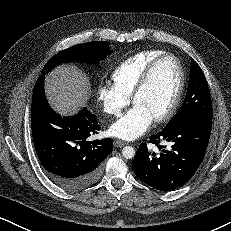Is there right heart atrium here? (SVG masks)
Returning <instances> with one entry per match:
<instances>
[{
  "instance_id": "d8ad5b80",
  "label": "right heart atrium",
  "mask_w": 231,
  "mask_h": 231,
  "mask_svg": "<svg viewBox=\"0 0 231 231\" xmlns=\"http://www.w3.org/2000/svg\"><path fill=\"white\" fill-rule=\"evenodd\" d=\"M97 98L104 113L118 116L130 103V97L123 94L114 84L103 83L97 89Z\"/></svg>"
}]
</instances>
